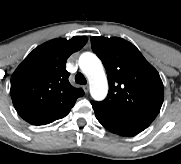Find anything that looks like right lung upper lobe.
Masks as SVG:
<instances>
[{"label": "right lung upper lobe", "instance_id": "cb5924a9", "mask_svg": "<svg viewBox=\"0 0 181 164\" xmlns=\"http://www.w3.org/2000/svg\"><path fill=\"white\" fill-rule=\"evenodd\" d=\"M88 41L86 36L50 40L35 48L11 77V98L18 114L33 125L65 117L84 95L68 81V57Z\"/></svg>", "mask_w": 181, "mask_h": 164}]
</instances>
